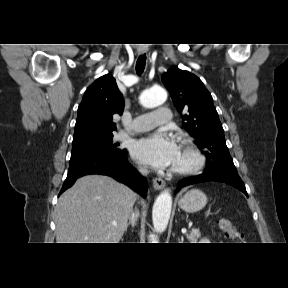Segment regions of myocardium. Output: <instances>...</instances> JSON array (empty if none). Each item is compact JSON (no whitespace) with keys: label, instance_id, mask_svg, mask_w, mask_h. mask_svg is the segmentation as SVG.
<instances>
[{"label":"myocardium","instance_id":"myocardium-1","mask_svg":"<svg viewBox=\"0 0 288 288\" xmlns=\"http://www.w3.org/2000/svg\"><path fill=\"white\" fill-rule=\"evenodd\" d=\"M179 138L181 149L188 161L183 165L173 166L172 171L177 174H192L202 168L204 156L192 138L186 135H180Z\"/></svg>","mask_w":288,"mask_h":288}]
</instances>
